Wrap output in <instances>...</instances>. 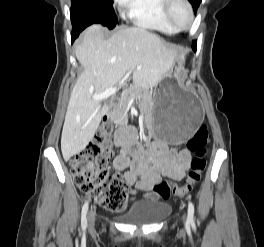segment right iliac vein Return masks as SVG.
Here are the masks:
<instances>
[{"mask_svg": "<svg viewBox=\"0 0 264 247\" xmlns=\"http://www.w3.org/2000/svg\"><path fill=\"white\" fill-rule=\"evenodd\" d=\"M88 220H89V228L92 230L94 228V223H95V214L91 210L88 213Z\"/></svg>", "mask_w": 264, "mask_h": 247, "instance_id": "right-iliac-vein-1", "label": "right iliac vein"}]
</instances>
